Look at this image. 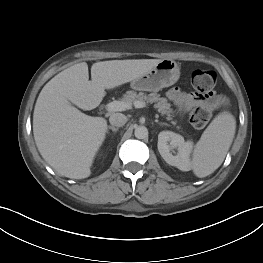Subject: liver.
I'll list each match as a JSON object with an SVG mask.
<instances>
[{
    "label": "liver",
    "mask_w": 263,
    "mask_h": 263,
    "mask_svg": "<svg viewBox=\"0 0 263 263\" xmlns=\"http://www.w3.org/2000/svg\"><path fill=\"white\" fill-rule=\"evenodd\" d=\"M160 59H127L96 62L89 80L86 62L75 64L53 77L41 90L33 113V134L44 160L61 176H90L94 158L107 130L103 117L82 113L99 106L106 89L128 83L151 70Z\"/></svg>",
    "instance_id": "1"
}]
</instances>
